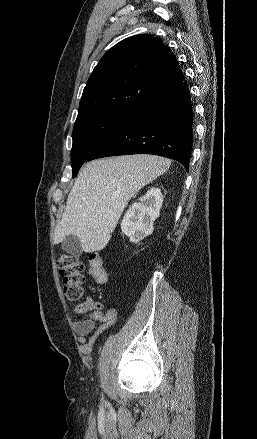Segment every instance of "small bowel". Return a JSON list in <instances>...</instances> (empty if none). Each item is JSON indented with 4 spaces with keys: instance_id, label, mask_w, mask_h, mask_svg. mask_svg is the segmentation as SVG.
<instances>
[{
    "instance_id": "c3829d8e",
    "label": "small bowel",
    "mask_w": 257,
    "mask_h": 439,
    "mask_svg": "<svg viewBox=\"0 0 257 439\" xmlns=\"http://www.w3.org/2000/svg\"><path fill=\"white\" fill-rule=\"evenodd\" d=\"M74 311L77 315L89 314L87 319L75 321L73 325L83 351L88 354L93 350L96 342V336H89L90 333H92L99 324H113L116 321L117 314L113 310L104 313L103 304L90 297L77 305Z\"/></svg>"
}]
</instances>
